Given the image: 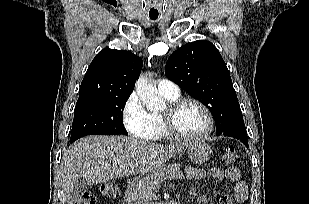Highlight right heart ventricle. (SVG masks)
<instances>
[{"instance_id": "e07e8e85", "label": "right heart ventricle", "mask_w": 309, "mask_h": 204, "mask_svg": "<svg viewBox=\"0 0 309 204\" xmlns=\"http://www.w3.org/2000/svg\"><path fill=\"white\" fill-rule=\"evenodd\" d=\"M163 97L169 102H172V101L178 99V96L170 97V96L163 95ZM148 118H149V122L152 126V134H151V137L149 139H151V140H162V139L169 138V136H168V134H167V132L164 128L161 114L151 112V113H148Z\"/></svg>"}]
</instances>
